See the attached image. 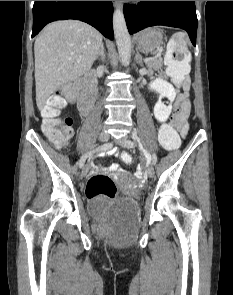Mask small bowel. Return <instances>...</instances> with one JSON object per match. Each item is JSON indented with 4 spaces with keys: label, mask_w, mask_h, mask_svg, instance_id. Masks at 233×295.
<instances>
[{
    "label": "small bowel",
    "mask_w": 233,
    "mask_h": 295,
    "mask_svg": "<svg viewBox=\"0 0 233 295\" xmlns=\"http://www.w3.org/2000/svg\"><path fill=\"white\" fill-rule=\"evenodd\" d=\"M150 88L159 94V100L154 106V116L160 123H165L170 118V124L182 135L187 131V118L190 112V101L187 92L179 93L174 86L164 77L154 79ZM110 154L116 153L114 149L109 150ZM107 172H125L116 163L103 169ZM141 176L140 172L136 173Z\"/></svg>",
    "instance_id": "obj_1"
}]
</instances>
